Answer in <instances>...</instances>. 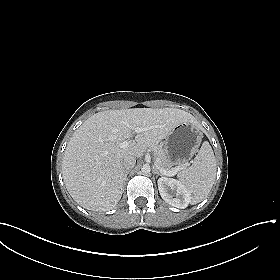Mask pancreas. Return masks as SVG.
I'll use <instances>...</instances> for the list:
<instances>
[{
  "label": "pancreas",
  "instance_id": "1",
  "mask_svg": "<svg viewBox=\"0 0 280 280\" xmlns=\"http://www.w3.org/2000/svg\"><path fill=\"white\" fill-rule=\"evenodd\" d=\"M152 149H153L155 165L157 168H161L166 171H171L175 168L173 167L174 165L173 162H171L170 159L167 157V153L162 146L157 145Z\"/></svg>",
  "mask_w": 280,
  "mask_h": 280
}]
</instances>
